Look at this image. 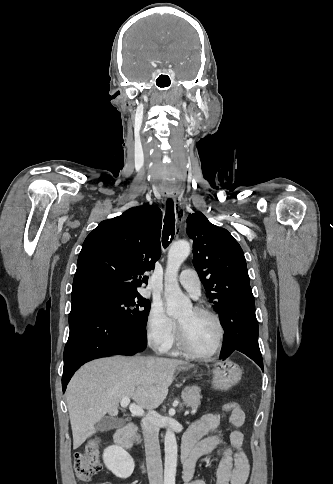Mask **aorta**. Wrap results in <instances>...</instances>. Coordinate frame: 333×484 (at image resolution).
<instances>
[{
  "mask_svg": "<svg viewBox=\"0 0 333 484\" xmlns=\"http://www.w3.org/2000/svg\"><path fill=\"white\" fill-rule=\"evenodd\" d=\"M191 251L190 244L185 240L174 242L168 252L167 267L165 271L164 296L168 316H180L192 306L178 284L177 275L181 264ZM164 484H175L177 468V441L174 432L168 429L164 437Z\"/></svg>",
  "mask_w": 333,
  "mask_h": 484,
  "instance_id": "aorta-1",
  "label": "aorta"
}]
</instances>
